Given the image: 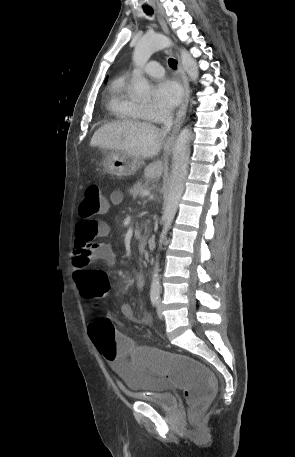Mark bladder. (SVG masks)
Returning <instances> with one entry per match:
<instances>
[{"mask_svg": "<svg viewBox=\"0 0 295 457\" xmlns=\"http://www.w3.org/2000/svg\"><path fill=\"white\" fill-rule=\"evenodd\" d=\"M112 369L126 390L158 406L160 411H177L176 398L166 389L167 382L160 374H143L139 366H120V362L112 363Z\"/></svg>", "mask_w": 295, "mask_h": 457, "instance_id": "bladder-1", "label": "bladder"}]
</instances>
